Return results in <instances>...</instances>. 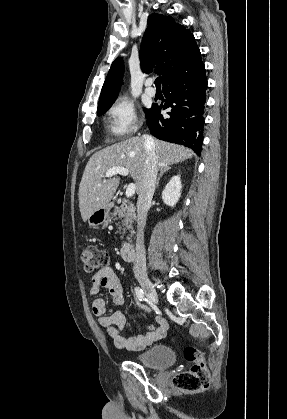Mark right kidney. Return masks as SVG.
<instances>
[{
	"instance_id": "obj_1",
	"label": "right kidney",
	"mask_w": 287,
	"mask_h": 419,
	"mask_svg": "<svg viewBox=\"0 0 287 419\" xmlns=\"http://www.w3.org/2000/svg\"><path fill=\"white\" fill-rule=\"evenodd\" d=\"M181 189L182 185L180 176H173L162 192V199L164 203L170 207L175 206L181 196Z\"/></svg>"
}]
</instances>
